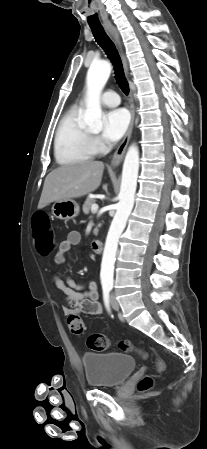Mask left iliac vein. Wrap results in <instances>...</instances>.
I'll return each mask as SVG.
<instances>
[{
	"label": "left iliac vein",
	"instance_id": "obj_1",
	"mask_svg": "<svg viewBox=\"0 0 207 449\" xmlns=\"http://www.w3.org/2000/svg\"><path fill=\"white\" fill-rule=\"evenodd\" d=\"M111 305H112V308H113L114 310H118V309H119V304H118V302L116 301L114 295L111 296Z\"/></svg>",
	"mask_w": 207,
	"mask_h": 449
}]
</instances>
